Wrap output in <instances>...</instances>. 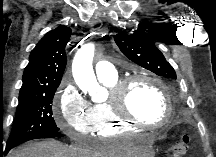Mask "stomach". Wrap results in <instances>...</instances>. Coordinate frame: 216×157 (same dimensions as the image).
Wrapping results in <instances>:
<instances>
[{
    "label": "stomach",
    "mask_w": 216,
    "mask_h": 157,
    "mask_svg": "<svg viewBox=\"0 0 216 157\" xmlns=\"http://www.w3.org/2000/svg\"><path fill=\"white\" fill-rule=\"evenodd\" d=\"M155 153L151 147H147L137 157H154Z\"/></svg>",
    "instance_id": "stomach-1"
}]
</instances>
